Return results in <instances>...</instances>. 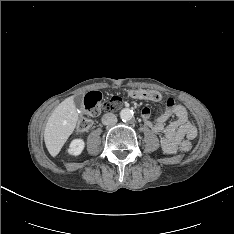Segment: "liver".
I'll use <instances>...</instances> for the list:
<instances>
[{"instance_id": "obj_1", "label": "liver", "mask_w": 234, "mask_h": 234, "mask_svg": "<svg viewBox=\"0 0 234 234\" xmlns=\"http://www.w3.org/2000/svg\"><path fill=\"white\" fill-rule=\"evenodd\" d=\"M78 121L74 97L62 101L52 112L44 130V141L47 150L56 156L69 136L73 133Z\"/></svg>"}]
</instances>
